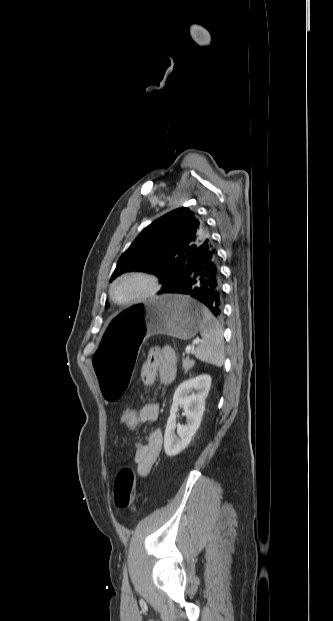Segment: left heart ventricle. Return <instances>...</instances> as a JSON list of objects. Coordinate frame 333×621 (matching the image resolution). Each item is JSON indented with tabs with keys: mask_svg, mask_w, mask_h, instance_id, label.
Listing matches in <instances>:
<instances>
[{
	"mask_svg": "<svg viewBox=\"0 0 333 621\" xmlns=\"http://www.w3.org/2000/svg\"><path fill=\"white\" fill-rule=\"evenodd\" d=\"M147 289V283L141 279L128 278L120 281L114 287V294L118 300L124 301L135 298Z\"/></svg>",
	"mask_w": 333,
	"mask_h": 621,
	"instance_id": "b2bd125f",
	"label": "left heart ventricle"
}]
</instances>
